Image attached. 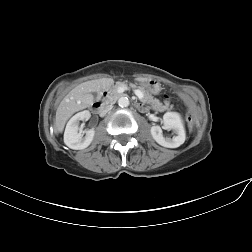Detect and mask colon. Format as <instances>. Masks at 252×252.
I'll return each instance as SVG.
<instances>
[{
    "label": "colon",
    "instance_id": "obj_1",
    "mask_svg": "<svg viewBox=\"0 0 252 252\" xmlns=\"http://www.w3.org/2000/svg\"><path fill=\"white\" fill-rule=\"evenodd\" d=\"M187 119H188V124H189L190 129H193L195 126V122H196V116H195L194 110H192V109L189 110Z\"/></svg>",
    "mask_w": 252,
    "mask_h": 252
}]
</instances>
